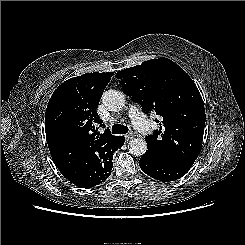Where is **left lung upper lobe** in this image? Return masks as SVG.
<instances>
[{
	"label": "left lung upper lobe",
	"mask_w": 245,
	"mask_h": 245,
	"mask_svg": "<svg viewBox=\"0 0 245 245\" xmlns=\"http://www.w3.org/2000/svg\"><path fill=\"white\" fill-rule=\"evenodd\" d=\"M125 93L146 113L163 121L146 136L145 155L156 160L192 166L203 141L205 109L190 76L168 58L151 59L116 74Z\"/></svg>",
	"instance_id": "1"
}]
</instances>
